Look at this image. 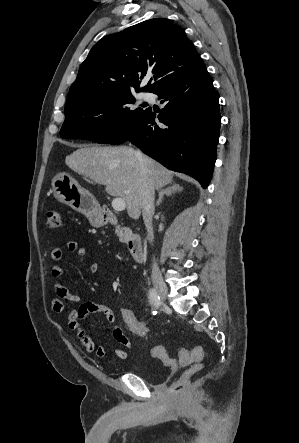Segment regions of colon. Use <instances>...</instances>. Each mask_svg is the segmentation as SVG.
I'll use <instances>...</instances> for the list:
<instances>
[{"label": "colon", "instance_id": "5ec220e1", "mask_svg": "<svg viewBox=\"0 0 299 443\" xmlns=\"http://www.w3.org/2000/svg\"><path fill=\"white\" fill-rule=\"evenodd\" d=\"M47 226L49 228H60L62 226V217L58 211L51 210L47 213ZM120 315L122 323L131 334L139 338H146L150 334L151 328L148 323L136 316L132 310L122 308ZM151 355L172 368H175L178 365H191L186 373L171 385L170 392L173 395H179L182 393L189 378L202 368L203 350L201 347H194L190 350L180 348L178 350L177 359H175L169 355L163 346H154L151 349Z\"/></svg>", "mask_w": 299, "mask_h": 443}]
</instances>
